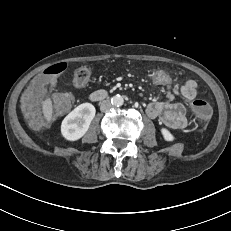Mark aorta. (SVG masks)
I'll use <instances>...</instances> for the list:
<instances>
[{"mask_svg": "<svg viewBox=\"0 0 231 231\" xmlns=\"http://www.w3.org/2000/svg\"><path fill=\"white\" fill-rule=\"evenodd\" d=\"M123 103H124V98L121 95H119V94H117V95H115V96H113L111 98V104L114 107H120V106L123 105Z\"/></svg>", "mask_w": 231, "mask_h": 231, "instance_id": "1", "label": "aorta"}]
</instances>
